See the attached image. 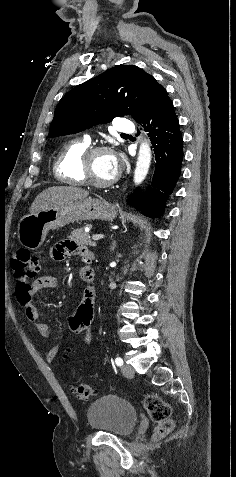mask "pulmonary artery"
I'll return each mask as SVG.
<instances>
[{
	"instance_id": "obj_1",
	"label": "pulmonary artery",
	"mask_w": 236,
	"mask_h": 477,
	"mask_svg": "<svg viewBox=\"0 0 236 477\" xmlns=\"http://www.w3.org/2000/svg\"><path fill=\"white\" fill-rule=\"evenodd\" d=\"M115 130L121 134H130L135 132V127L132 124V122L119 118L115 121ZM83 141L86 142L87 144L90 143V137L88 135H85L83 138Z\"/></svg>"
}]
</instances>
